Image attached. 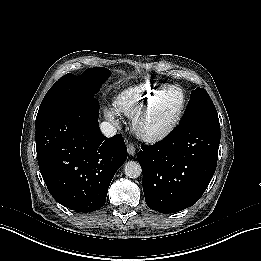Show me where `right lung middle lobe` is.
Returning <instances> with one entry per match:
<instances>
[{
  "label": "right lung middle lobe",
  "mask_w": 261,
  "mask_h": 261,
  "mask_svg": "<svg viewBox=\"0 0 261 261\" xmlns=\"http://www.w3.org/2000/svg\"><path fill=\"white\" fill-rule=\"evenodd\" d=\"M108 75L107 69L89 68L81 76L68 73L61 77L41 102L35 124L72 102L83 101L97 106V101H93L92 96L97 93Z\"/></svg>",
  "instance_id": "dd1d6c3e"
}]
</instances>
